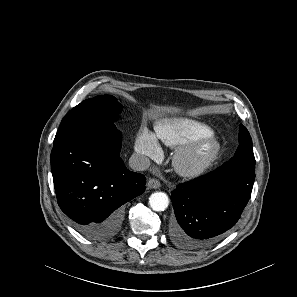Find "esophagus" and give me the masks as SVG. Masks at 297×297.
Instances as JSON below:
<instances>
[{
    "mask_svg": "<svg viewBox=\"0 0 297 297\" xmlns=\"http://www.w3.org/2000/svg\"><path fill=\"white\" fill-rule=\"evenodd\" d=\"M160 181L154 178H151L147 181V186L151 189H157L160 187Z\"/></svg>",
    "mask_w": 297,
    "mask_h": 297,
    "instance_id": "obj_1",
    "label": "esophagus"
}]
</instances>
